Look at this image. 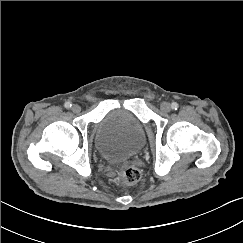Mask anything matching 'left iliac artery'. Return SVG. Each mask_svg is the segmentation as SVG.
I'll return each mask as SVG.
<instances>
[{"label": "left iliac artery", "instance_id": "obj_1", "mask_svg": "<svg viewBox=\"0 0 243 243\" xmlns=\"http://www.w3.org/2000/svg\"><path fill=\"white\" fill-rule=\"evenodd\" d=\"M171 107H172V109L177 110V109H178V103L173 102V103L171 104Z\"/></svg>", "mask_w": 243, "mask_h": 243}]
</instances>
